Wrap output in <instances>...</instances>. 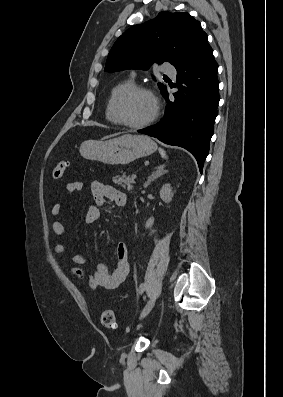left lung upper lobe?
Here are the masks:
<instances>
[{
  "mask_svg": "<svg viewBox=\"0 0 283 397\" xmlns=\"http://www.w3.org/2000/svg\"><path fill=\"white\" fill-rule=\"evenodd\" d=\"M208 45L199 21L188 13L160 12L152 20L126 30L109 52L105 71L148 70L153 62H170L175 68ZM161 93L166 87L158 84Z\"/></svg>",
  "mask_w": 283,
  "mask_h": 397,
  "instance_id": "1",
  "label": "left lung upper lobe"
}]
</instances>
